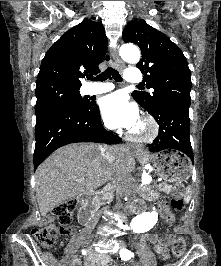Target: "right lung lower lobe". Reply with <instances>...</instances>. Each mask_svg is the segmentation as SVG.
<instances>
[{"instance_id": "1", "label": "right lung lower lobe", "mask_w": 221, "mask_h": 266, "mask_svg": "<svg viewBox=\"0 0 221 266\" xmlns=\"http://www.w3.org/2000/svg\"><path fill=\"white\" fill-rule=\"evenodd\" d=\"M34 171L53 151L76 142L118 144L121 138L106 131L95 101L82 110L57 109L36 120Z\"/></svg>"}]
</instances>
